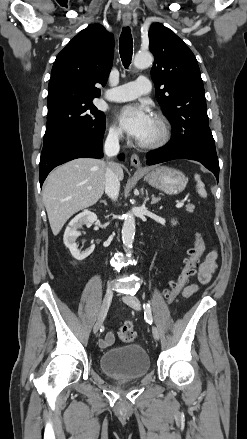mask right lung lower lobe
I'll list each match as a JSON object with an SVG mask.
<instances>
[{"label":"right lung lower lobe","mask_w":247,"mask_h":439,"mask_svg":"<svg viewBox=\"0 0 247 439\" xmlns=\"http://www.w3.org/2000/svg\"><path fill=\"white\" fill-rule=\"evenodd\" d=\"M104 132L105 128L98 132L68 135L44 143L39 165L40 186L49 172L58 165L76 158H101ZM123 158L124 155H120V159Z\"/></svg>","instance_id":"98d812e1"}]
</instances>
